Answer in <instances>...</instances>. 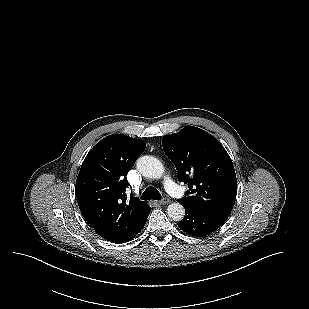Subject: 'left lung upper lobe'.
<instances>
[{
  "label": "left lung upper lobe",
  "instance_id": "left-lung-upper-lobe-1",
  "mask_svg": "<svg viewBox=\"0 0 309 309\" xmlns=\"http://www.w3.org/2000/svg\"><path fill=\"white\" fill-rule=\"evenodd\" d=\"M162 146L176 166L178 180L189 187L186 196L178 201L226 221L237 195V180L221 143L202 129L186 126L164 136Z\"/></svg>",
  "mask_w": 309,
  "mask_h": 309
}]
</instances>
